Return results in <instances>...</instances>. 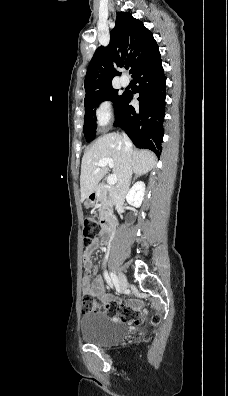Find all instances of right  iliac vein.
Segmentation results:
<instances>
[{"instance_id": "1", "label": "right iliac vein", "mask_w": 228, "mask_h": 396, "mask_svg": "<svg viewBox=\"0 0 228 396\" xmlns=\"http://www.w3.org/2000/svg\"><path fill=\"white\" fill-rule=\"evenodd\" d=\"M118 280H119L120 287L122 289H124L127 285V278L122 272H118Z\"/></svg>"}]
</instances>
